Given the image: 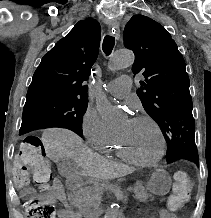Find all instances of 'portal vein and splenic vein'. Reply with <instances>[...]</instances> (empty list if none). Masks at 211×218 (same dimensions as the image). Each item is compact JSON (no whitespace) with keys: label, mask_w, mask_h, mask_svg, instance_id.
<instances>
[{"label":"portal vein and splenic vein","mask_w":211,"mask_h":218,"mask_svg":"<svg viewBox=\"0 0 211 218\" xmlns=\"http://www.w3.org/2000/svg\"><path fill=\"white\" fill-rule=\"evenodd\" d=\"M126 188L128 189V191H132L131 186H127Z\"/></svg>","instance_id":"18ae733b"}]
</instances>
